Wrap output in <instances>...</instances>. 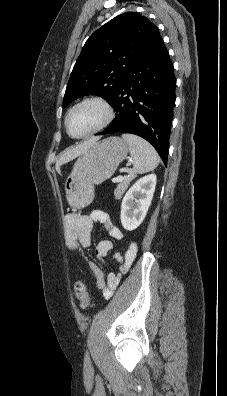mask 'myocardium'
<instances>
[{
	"label": "myocardium",
	"mask_w": 227,
	"mask_h": 396,
	"mask_svg": "<svg viewBox=\"0 0 227 396\" xmlns=\"http://www.w3.org/2000/svg\"><path fill=\"white\" fill-rule=\"evenodd\" d=\"M87 104L99 105L104 111V118L96 127H94L89 132H87L81 136H74L71 134V132L69 130V126H68L69 117L76 109H78L79 107H82L84 105H87ZM114 118H115L114 107L106 98H104L103 96H100V95H89V96H85L82 99L78 100L68 109L65 119H64V125H65L67 134L71 138L84 139V138L90 137V136L102 131L103 129L107 128L112 123Z\"/></svg>",
	"instance_id": "myocardium-1"
}]
</instances>
